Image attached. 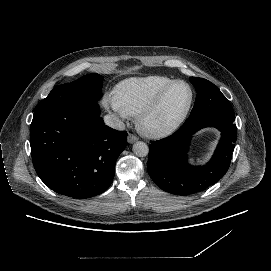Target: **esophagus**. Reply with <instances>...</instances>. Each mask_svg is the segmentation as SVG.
<instances>
[{"mask_svg": "<svg viewBox=\"0 0 271 271\" xmlns=\"http://www.w3.org/2000/svg\"><path fill=\"white\" fill-rule=\"evenodd\" d=\"M127 139H128V142L130 144H132V143L136 142L139 138L136 137L134 134L129 133Z\"/></svg>", "mask_w": 271, "mask_h": 271, "instance_id": "esophagus-1", "label": "esophagus"}]
</instances>
